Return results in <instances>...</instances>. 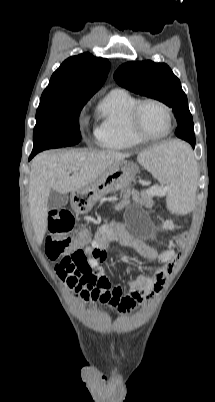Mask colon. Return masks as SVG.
Here are the masks:
<instances>
[{
  "label": "colon",
  "mask_w": 215,
  "mask_h": 402,
  "mask_svg": "<svg viewBox=\"0 0 215 402\" xmlns=\"http://www.w3.org/2000/svg\"><path fill=\"white\" fill-rule=\"evenodd\" d=\"M74 227V217L67 210L51 211L48 217L49 235L46 239V254L52 259H58L64 256L60 266L71 267L74 263H81L84 260V254L80 250L86 249V244H91L92 237L87 232L73 238L69 235ZM184 227V226H183ZM191 234L186 232L184 236L180 235L174 240V245L178 246L180 251H183V244L190 241ZM172 257L168 263H172ZM82 271H86L85 266H81Z\"/></svg>",
  "instance_id": "1"
}]
</instances>
